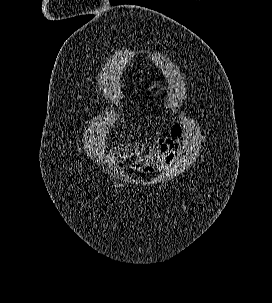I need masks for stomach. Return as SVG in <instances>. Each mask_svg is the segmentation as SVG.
I'll return each mask as SVG.
<instances>
[{"label": "stomach", "instance_id": "obj_1", "mask_svg": "<svg viewBox=\"0 0 272 303\" xmlns=\"http://www.w3.org/2000/svg\"><path fill=\"white\" fill-rule=\"evenodd\" d=\"M167 90L166 85L161 84L158 81H154L149 85L148 91L150 92L151 96L157 98L158 96L162 95Z\"/></svg>", "mask_w": 272, "mask_h": 303}]
</instances>
